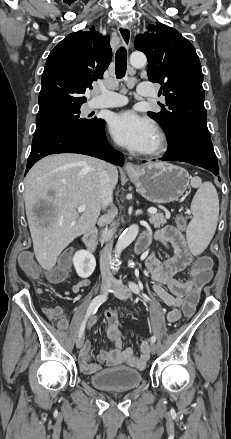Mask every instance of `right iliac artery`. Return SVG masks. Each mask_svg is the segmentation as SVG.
<instances>
[{"label":"right iliac artery","instance_id":"right-iliac-artery-1","mask_svg":"<svg viewBox=\"0 0 231 439\" xmlns=\"http://www.w3.org/2000/svg\"><path fill=\"white\" fill-rule=\"evenodd\" d=\"M107 300V296L106 295H98L96 296L90 303L88 309H87V313L85 315V318L81 324L80 330H79V337H81L84 333V329L86 326V322L88 320V318L92 315L95 314L98 307Z\"/></svg>","mask_w":231,"mask_h":439}]
</instances>
